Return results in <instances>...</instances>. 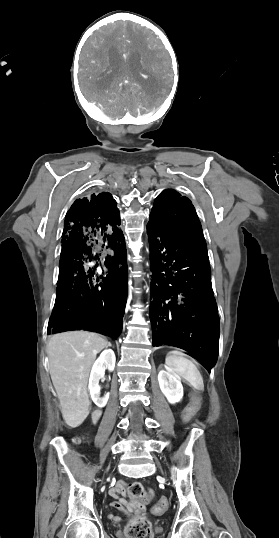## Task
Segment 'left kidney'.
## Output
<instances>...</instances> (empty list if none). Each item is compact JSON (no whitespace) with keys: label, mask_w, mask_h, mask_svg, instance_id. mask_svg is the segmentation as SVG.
<instances>
[{"label":"left kidney","mask_w":279,"mask_h":538,"mask_svg":"<svg viewBox=\"0 0 279 538\" xmlns=\"http://www.w3.org/2000/svg\"><path fill=\"white\" fill-rule=\"evenodd\" d=\"M159 388L166 396L170 404H176L183 398V386L179 380V376L174 374L170 368L160 370L158 374Z\"/></svg>","instance_id":"1"}]
</instances>
